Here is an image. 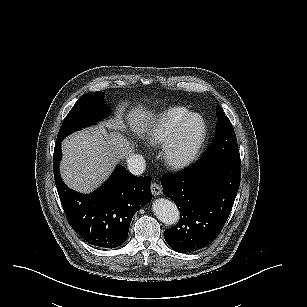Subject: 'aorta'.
<instances>
[{"instance_id":"1","label":"aorta","mask_w":307,"mask_h":307,"mask_svg":"<svg viewBox=\"0 0 307 307\" xmlns=\"http://www.w3.org/2000/svg\"><path fill=\"white\" fill-rule=\"evenodd\" d=\"M151 211L161 222L172 225L179 219V211L175 203L166 198H155L151 202Z\"/></svg>"}]
</instances>
